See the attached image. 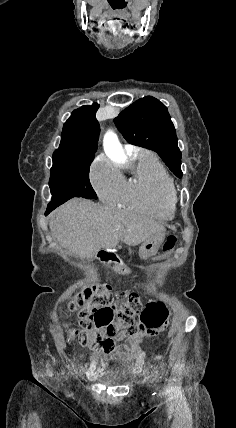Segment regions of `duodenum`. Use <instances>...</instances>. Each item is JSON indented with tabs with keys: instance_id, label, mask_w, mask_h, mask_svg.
Instances as JSON below:
<instances>
[{
	"instance_id": "obj_1",
	"label": "duodenum",
	"mask_w": 236,
	"mask_h": 428,
	"mask_svg": "<svg viewBox=\"0 0 236 428\" xmlns=\"http://www.w3.org/2000/svg\"><path fill=\"white\" fill-rule=\"evenodd\" d=\"M96 259L103 264H106L113 269H118L122 265L120 257L111 249H100L96 253Z\"/></svg>"
}]
</instances>
